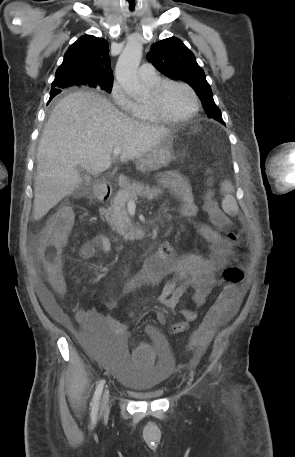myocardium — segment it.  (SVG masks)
<instances>
[{
    "label": "myocardium",
    "instance_id": "obj_1",
    "mask_svg": "<svg viewBox=\"0 0 295 457\" xmlns=\"http://www.w3.org/2000/svg\"><path fill=\"white\" fill-rule=\"evenodd\" d=\"M171 85H177V86L184 87L185 89H187L189 91V93L192 96L193 108L185 116H182V117H170V116H167L162 111V108H161V105H160L161 94L163 93V91L168 86H171ZM151 93L153 95V98H152V100L148 101L147 105H148L150 111L152 112V114L160 122H164V123H181V122H185V121H188V120L194 118L197 115V113L199 112V109H200L199 97H198L197 93L195 92V90L189 84H187L185 82L178 81V80L164 79V80L159 81L157 84H155L152 87Z\"/></svg>",
    "mask_w": 295,
    "mask_h": 457
}]
</instances>
